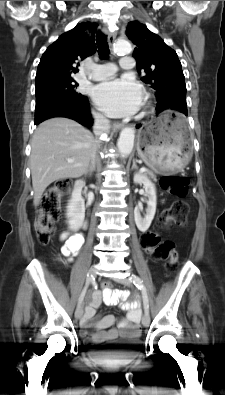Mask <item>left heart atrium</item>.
<instances>
[{
    "instance_id": "1",
    "label": "left heart atrium",
    "mask_w": 225,
    "mask_h": 395,
    "mask_svg": "<svg viewBox=\"0 0 225 395\" xmlns=\"http://www.w3.org/2000/svg\"><path fill=\"white\" fill-rule=\"evenodd\" d=\"M96 105L107 115L134 114L142 102L141 86L129 77L114 78L97 85L92 93Z\"/></svg>"
}]
</instances>
